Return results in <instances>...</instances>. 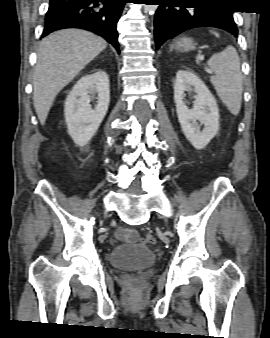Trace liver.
<instances>
[{
  "mask_svg": "<svg viewBox=\"0 0 270 338\" xmlns=\"http://www.w3.org/2000/svg\"><path fill=\"white\" fill-rule=\"evenodd\" d=\"M107 46L88 31L65 29L45 37L33 75V103L43 125L57 94Z\"/></svg>",
  "mask_w": 270,
  "mask_h": 338,
  "instance_id": "liver-1",
  "label": "liver"
}]
</instances>
